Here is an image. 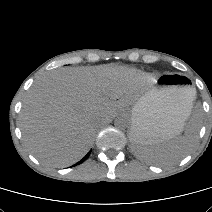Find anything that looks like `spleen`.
Returning a JSON list of instances; mask_svg holds the SVG:
<instances>
[{
  "label": "spleen",
  "mask_w": 212,
  "mask_h": 212,
  "mask_svg": "<svg viewBox=\"0 0 212 212\" xmlns=\"http://www.w3.org/2000/svg\"><path fill=\"white\" fill-rule=\"evenodd\" d=\"M195 98V88H187L181 98L184 119L191 114ZM199 127L200 125H197L195 129L189 127L185 132V136H176L169 140H158L156 142L145 141L137 129L134 140L137 156L157 165L174 164L185 157L192 144L196 141Z\"/></svg>",
  "instance_id": "1"
}]
</instances>
